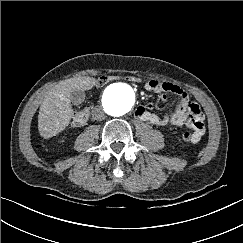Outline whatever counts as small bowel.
I'll return each mask as SVG.
<instances>
[{
    "mask_svg": "<svg viewBox=\"0 0 243 243\" xmlns=\"http://www.w3.org/2000/svg\"><path fill=\"white\" fill-rule=\"evenodd\" d=\"M148 91L156 92L160 99L165 101L167 93H171L177 97L176 107L173 111L164 116H159L151 110L154 108L153 103H148L145 106H140L136 115L155 126H182L186 125L192 130V143H198L205 133V116L202 113L199 105L190 99L188 94L179 86L158 80H149L145 84Z\"/></svg>",
    "mask_w": 243,
    "mask_h": 243,
    "instance_id": "obj_1",
    "label": "small bowel"
}]
</instances>
